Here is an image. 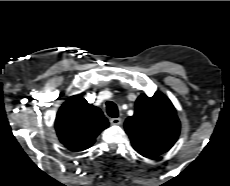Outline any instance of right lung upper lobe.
Masks as SVG:
<instances>
[{
  "mask_svg": "<svg viewBox=\"0 0 230 186\" xmlns=\"http://www.w3.org/2000/svg\"><path fill=\"white\" fill-rule=\"evenodd\" d=\"M108 126L102 111L77 95L67 99L55 120L59 140L72 151L91 147L97 135Z\"/></svg>",
  "mask_w": 230,
  "mask_h": 186,
  "instance_id": "1",
  "label": "right lung upper lobe"
}]
</instances>
